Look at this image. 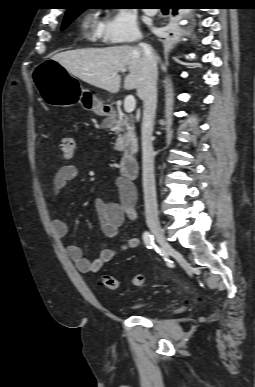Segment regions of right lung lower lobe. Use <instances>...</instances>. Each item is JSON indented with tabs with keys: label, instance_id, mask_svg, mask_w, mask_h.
<instances>
[{
	"label": "right lung lower lobe",
	"instance_id": "98d812e1",
	"mask_svg": "<svg viewBox=\"0 0 255 387\" xmlns=\"http://www.w3.org/2000/svg\"><path fill=\"white\" fill-rule=\"evenodd\" d=\"M192 3L184 2V3H179L178 5L172 7L171 9L173 10V14H177V10L180 8H191ZM180 6H186V7H180Z\"/></svg>",
	"mask_w": 255,
	"mask_h": 387
}]
</instances>
